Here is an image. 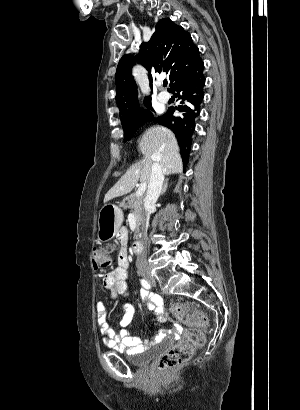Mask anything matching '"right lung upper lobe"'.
<instances>
[{
	"mask_svg": "<svg viewBox=\"0 0 300 410\" xmlns=\"http://www.w3.org/2000/svg\"><path fill=\"white\" fill-rule=\"evenodd\" d=\"M200 58L190 34L169 18L161 19L148 43H142L137 56L124 55L116 70V103L120 110L121 123L134 118L141 110L137 99L138 92L131 74L135 62L142 64L152 77L161 72L169 73L170 86L174 81ZM151 103L146 97L144 105ZM189 153L190 146L182 149Z\"/></svg>",
	"mask_w": 300,
	"mask_h": 410,
	"instance_id": "cb5924a9",
	"label": "right lung upper lobe"
}]
</instances>
